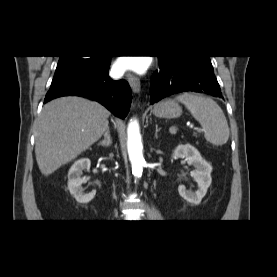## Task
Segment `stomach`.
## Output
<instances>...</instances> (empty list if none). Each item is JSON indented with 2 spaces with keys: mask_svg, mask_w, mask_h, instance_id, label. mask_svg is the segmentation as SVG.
<instances>
[{
  "mask_svg": "<svg viewBox=\"0 0 277 277\" xmlns=\"http://www.w3.org/2000/svg\"><path fill=\"white\" fill-rule=\"evenodd\" d=\"M153 113L157 117L177 118L181 116L182 108L173 100H164L154 106Z\"/></svg>",
  "mask_w": 277,
  "mask_h": 277,
  "instance_id": "1",
  "label": "stomach"
}]
</instances>
